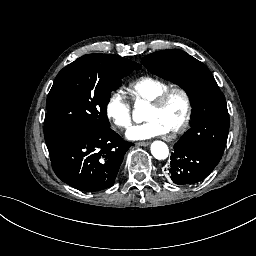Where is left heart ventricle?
Listing matches in <instances>:
<instances>
[{
    "instance_id": "b2bd125f",
    "label": "left heart ventricle",
    "mask_w": 256,
    "mask_h": 256,
    "mask_svg": "<svg viewBox=\"0 0 256 256\" xmlns=\"http://www.w3.org/2000/svg\"><path fill=\"white\" fill-rule=\"evenodd\" d=\"M183 106L177 95H173L165 108L160 111H149V114H161L169 121H171L175 116L179 115L182 112Z\"/></svg>"
}]
</instances>
